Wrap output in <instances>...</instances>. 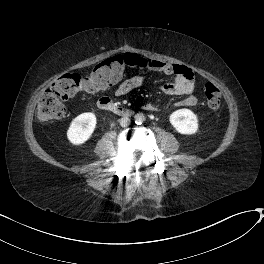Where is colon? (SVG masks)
I'll use <instances>...</instances> for the list:
<instances>
[{
    "label": "colon",
    "mask_w": 264,
    "mask_h": 264,
    "mask_svg": "<svg viewBox=\"0 0 264 264\" xmlns=\"http://www.w3.org/2000/svg\"><path fill=\"white\" fill-rule=\"evenodd\" d=\"M136 60L132 55L115 56L97 65L88 78L78 73H66L57 78L42 94L35 110V118L40 123H49L65 115L61 99L72 98L78 94H88L103 90L122 81L129 68H134ZM205 99L209 107L219 108L222 95L212 83L204 86Z\"/></svg>",
    "instance_id": "obj_1"
}]
</instances>
